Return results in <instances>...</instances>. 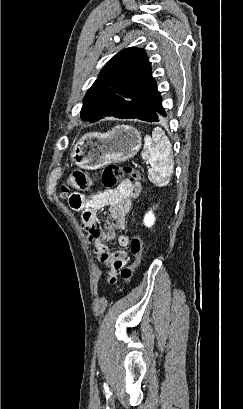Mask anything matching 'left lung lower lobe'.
Listing matches in <instances>:
<instances>
[{"label": "left lung lower lobe", "mask_w": 243, "mask_h": 409, "mask_svg": "<svg viewBox=\"0 0 243 409\" xmlns=\"http://www.w3.org/2000/svg\"><path fill=\"white\" fill-rule=\"evenodd\" d=\"M161 102L162 98L156 87L140 101L128 104L124 108L126 110L125 113L118 115L113 112H108L104 114L102 118L113 116L117 118H136L148 122H157L161 115L166 116Z\"/></svg>", "instance_id": "0a47b994"}]
</instances>
